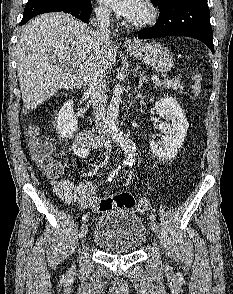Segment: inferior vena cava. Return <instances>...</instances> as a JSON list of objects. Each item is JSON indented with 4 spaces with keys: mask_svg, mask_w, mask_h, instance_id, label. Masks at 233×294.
Returning <instances> with one entry per match:
<instances>
[{
    "mask_svg": "<svg viewBox=\"0 0 233 294\" xmlns=\"http://www.w3.org/2000/svg\"><path fill=\"white\" fill-rule=\"evenodd\" d=\"M99 31L95 33L97 47L104 48L110 43V10L101 7L95 11ZM106 65L101 52L93 58L88 69V92L93 106L95 125L108 155L112 152V142L106 129Z\"/></svg>",
    "mask_w": 233,
    "mask_h": 294,
    "instance_id": "1",
    "label": "inferior vena cava"
}]
</instances>
